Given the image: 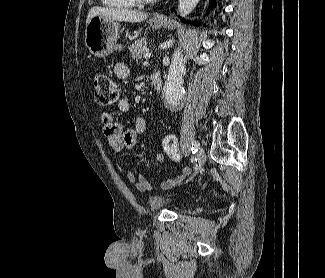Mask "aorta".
Returning <instances> with one entry per match:
<instances>
[{
  "instance_id": "1",
  "label": "aorta",
  "mask_w": 325,
  "mask_h": 278,
  "mask_svg": "<svg viewBox=\"0 0 325 278\" xmlns=\"http://www.w3.org/2000/svg\"><path fill=\"white\" fill-rule=\"evenodd\" d=\"M199 0H179L178 12L181 16L189 15L196 7ZM185 74V65L183 55L177 48L171 58V64L168 70V76L164 85V94L166 102L171 107H177L183 97V76Z\"/></svg>"
}]
</instances>
